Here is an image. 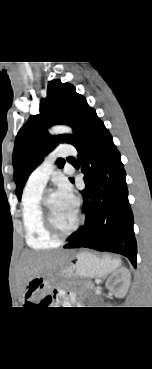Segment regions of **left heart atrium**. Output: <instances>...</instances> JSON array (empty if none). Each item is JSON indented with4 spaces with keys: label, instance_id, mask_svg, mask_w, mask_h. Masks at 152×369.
Instances as JSON below:
<instances>
[{
    "label": "left heart atrium",
    "instance_id": "obj_1",
    "mask_svg": "<svg viewBox=\"0 0 152 369\" xmlns=\"http://www.w3.org/2000/svg\"><path fill=\"white\" fill-rule=\"evenodd\" d=\"M56 194L58 195V197L62 200V202L65 205L75 210L77 209L78 200L76 196L74 195L71 185L67 181L60 180L58 182V188H57Z\"/></svg>",
    "mask_w": 152,
    "mask_h": 369
}]
</instances>
